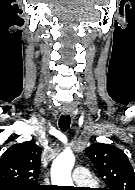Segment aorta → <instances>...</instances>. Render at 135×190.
<instances>
[{"mask_svg": "<svg viewBox=\"0 0 135 190\" xmlns=\"http://www.w3.org/2000/svg\"><path fill=\"white\" fill-rule=\"evenodd\" d=\"M75 157L71 150L63 151L54 160L51 168L52 183L58 186H72L71 171Z\"/></svg>", "mask_w": 135, "mask_h": 190, "instance_id": "762f6f07", "label": "aorta"}]
</instances>
